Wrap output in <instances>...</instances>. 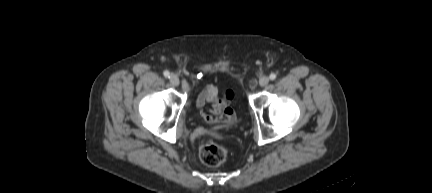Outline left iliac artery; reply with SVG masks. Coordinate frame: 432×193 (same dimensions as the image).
Masks as SVG:
<instances>
[{
	"mask_svg": "<svg viewBox=\"0 0 432 193\" xmlns=\"http://www.w3.org/2000/svg\"><path fill=\"white\" fill-rule=\"evenodd\" d=\"M276 77H277V76H276L275 73H271L270 76H269L270 80H275Z\"/></svg>",
	"mask_w": 432,
	"mask_h": 193,
	"instance_id": "obj_1",
	"label": "left iliac artery"
}]
</instances>
